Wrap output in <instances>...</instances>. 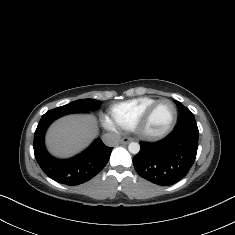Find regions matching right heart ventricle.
<instances>
[{
	"mask_svg": "<svg viewBox=\"0 0 235 235\" xmlns=\"http://www.w3.org/2000/svg\"><path fill=\"white\" fill-rule=\"evenodd\" d=\"M157 98L143 96L114 104L110 107L113 121L121 128L131 131L135 123L144 115Z\"/></svg>",
	"mask_w": 235,
	"mask_h": 235,
	"instance_id": "right-heart-ventricle-1",
	"label": "right heart ventricle"
}]
</instances>
